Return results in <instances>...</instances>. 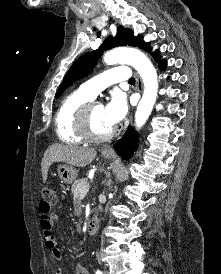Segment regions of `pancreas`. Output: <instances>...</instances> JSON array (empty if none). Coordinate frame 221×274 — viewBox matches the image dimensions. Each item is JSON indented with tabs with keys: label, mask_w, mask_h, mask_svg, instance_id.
I'll return each mask as SVG.
<instances>
[{
	"label": "pancreas",
	"mask_w": 221,
	"mask_h": 274,
	"mask_svg": "<svg viewBox=\"0 0 221 274\" xmlns=\"http://www.w3.org/2000/svg\"><path fill=\"white\" fill-rule=\"evenodd\" d=\"M88 185V179L87 178H82V179H78L76 180L73 185H72V192L74 194V197L76 199H79V189L82 187H85Z\"/></svg>",
	"instance_id": "obj_1"
}]
</instances>
